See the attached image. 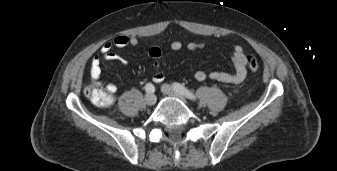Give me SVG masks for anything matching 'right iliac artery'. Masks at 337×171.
Masks as SVG:
<instances>
[{"mask_svg": "<svg viewBox=\"0 0 337 171\" xmlns=\"http://www.w3.org/2000/svg\"><path fill=\"white\" fill-rule=\"evenodd\" d=\"M145 91L147 93H153L155 91V87L152 83H147L145 86Z\"/></svg>", "mask_w": 337, "mask_h": 171, "instance_id": "obj_1", "label": "right iliac artery"}]
</instances>
